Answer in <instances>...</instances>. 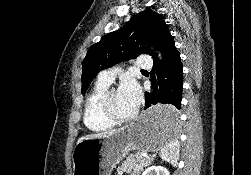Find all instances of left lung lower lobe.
I'll list each match as a JSON object with an SVG mask.
<instances>
[{
  "instance_id": "1",
  "label": "left lung lower lobe",
  "mask_w": 251,
  "mask_h": 175,
  "mask_svg": "<svg viewBox=\"0 0 251 175\" xmlns=\"http://www.w3.org/2000/svg\"><path fill=\"white\" fill-rule=\"evenodd\" d=\"M159 50L162 52L161 62L157 54L152 55L154 66L152 91L146 93L145 107L149 109L143 122L149 126H168L179 122L182 100L183 67L179 52L171 33H167ZM154 72H157L158 83L155 84Z\"/></svg>"
}]
</instances>
